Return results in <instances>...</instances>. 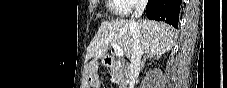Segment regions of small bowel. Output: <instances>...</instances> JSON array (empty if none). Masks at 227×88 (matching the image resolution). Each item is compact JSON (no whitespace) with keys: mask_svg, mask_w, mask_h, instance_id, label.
I'll return each instance as SVG.
<instances>
[{"mask_svg":"<svg viewBox=\"0 0 227 88\" xmlns=\"http://www.w3.org/2000/svg\"><path fill=\"white\" fill-rule=\"evenodd\" d=\"M93 69V66H90V70H92Z\"/></svg>","mask_w":227,"mask_h":88,"instance_id":"obj_1","label":"small bowel"}]
</instances>
